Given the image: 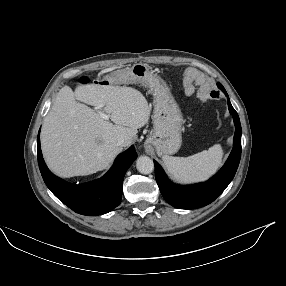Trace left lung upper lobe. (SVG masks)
I'll use <instances>...</instances> for the list:
<instances>
[{
  "instance_id": "left-lung-upper-lobe-1",
  "label": "left lung upper lobe",
  "mask_w": 286,
  "mask_h": 286,
  "mask_svg": "<svg viewBox=\"0 0 286 286\" xmlns=\"http://www.w3.org/2000/svg\"><path fill=\"white\" fill-rule=\"evenodd\" d=\"M217 85L222 91L225 90L224 87L220 83H218Z\"/></svg>"
}]
</instances>
